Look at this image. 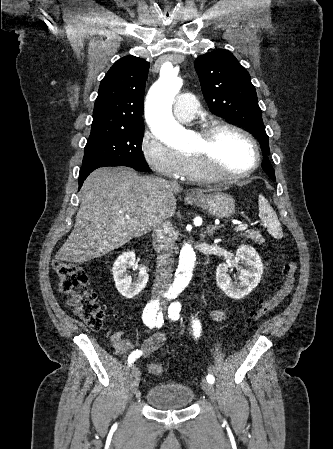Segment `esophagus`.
Wrapping results in <instances>:
<instances>
[{"label": "esophagus", "instance_id": "esophagus-1", "mask_svg": "<svg viewBox=\"0 0 333 449\" xmlns=\"http://www.w3.org/2000/svg\"><path fill=\"white\" fill-rule=\"evenodd\" d=\"M191 195L192 196H199L200 192L198 190L193 189V190H191Z\"/></svg>", "mask_w": 333, "mask_h": 449}]
</instances>
